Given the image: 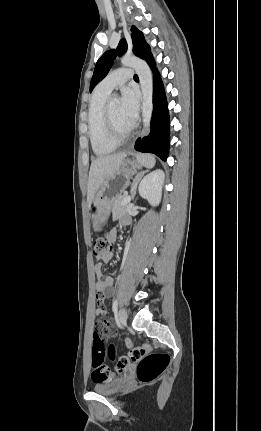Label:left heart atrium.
Returning <instances> with one entry per match:
<instances>
[{
  "label": "left heart atrium",
  "instance_id": "left-heart-atrium-1",
  "mask_svg": "<svg viewBox=\"0 0 261 431\" xmlns=\"http://www.w3.org/2000/svg\"><path fill=\"white\" fill-rule=\"evenodd\" d=\"M139 111V102L136 92L131 88H124L121 94L120 112L125 123L132 128Z\"/></svg>",
  "mask_w": 261,
  "mask_h": 431
}]
</instances>
